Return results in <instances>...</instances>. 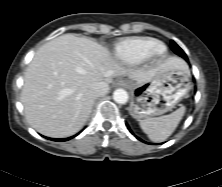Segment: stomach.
<instances>
[{"mask_svg": "<svg viewBox=\"0 0 222 187\" xmlns=\"http://www.w3.org/2000/svg\"><path fill=\"white\" fill-rule=\"evenodd\" d=\"M189 90L187 69H162L148 82L132 83L129 113L137 120L162 115L171 111Z\"/></svg>", "mask_w": 222, "mask_h": 187, "instance_id": "1", "label": "stomach"}]
</instances>
